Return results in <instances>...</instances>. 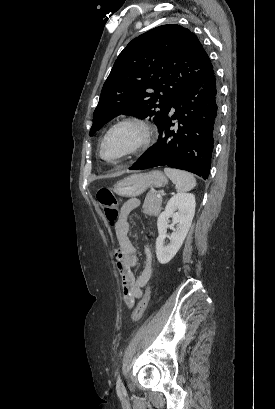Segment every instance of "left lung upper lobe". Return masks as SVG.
<instances>
[{
  "instance_id": "1",
  "label": "left lung upper lobe",
  "mask_w": 275,
  "mask_h": 409,
  "mask_svg": "<svg viewBox=\"0 0 275 409\" xmlns=\"http://www.w3.org/2000/svg\"><path fill=\"white\" fill-rule=\"evenodd\" d=\"M213 69L189 29L168 24L133 39L120 53L94 111L93 135L120 114L152 117L159 125L182 91Z\"/></svg>"
}]
</instances>
